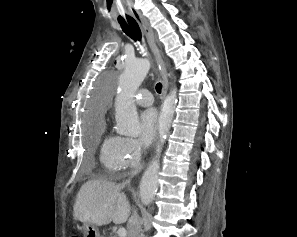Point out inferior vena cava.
<instances>
[{"label":"inferior vena cava","instance_id":"602c4592","mask_svg":"<svg viewBox=\"0 0 297 237\" xmlns=\"http://www.w3.org/2000/svg\"><path fill=\"white\" fill-rule=\"evenodd\" d=\"M135 173H132V176ZM130 178L123 182L120 186L124 187L125 185L130 183ZM142 223L141 220L137 214V211L134 210L132 216L128 220L127 229H128V237H142Z\"/></svg>","mask_w":297,"mask_h":237}]
</instances>
